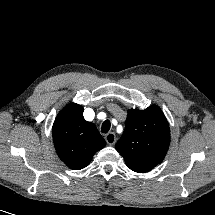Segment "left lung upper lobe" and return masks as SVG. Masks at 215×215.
Listing matches in <instances>:
<instances>
[{"label":"left lung upper lobe","instance_id":"1","mask_svg":"<svg viewBox=\"0 0 215 215\" xmlns=\"http://www.w3.org/2000/svg\"><path fill=\"white\" fill-rule=\"evenodd\" d=\"M169 144L168 122L161 109L152 105L128 110L125 131L115 147L131 170L144 173L162 162Z\"/></svg>","mask_w":215,"mask_h":215}]
</instances>
